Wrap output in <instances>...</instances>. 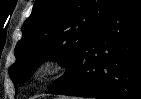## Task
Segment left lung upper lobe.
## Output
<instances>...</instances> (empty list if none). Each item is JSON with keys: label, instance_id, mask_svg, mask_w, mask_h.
I'll use <instances>...</instances> for the list:
<instances>
[{"label": "left lung upper lobe", "instance_id": "obj_1", "mask_svg": "<svg viewBox=\"0 0 141 99\" xmlns=\"http://www.w3.org/2000/svg\"><path fill=\"white\" fill-rule=\"evenodd\" d=\"M118 0H36L15 47L16 62L9 68L14 83L34 73L44 60L73 69L89 37Z\"/></svg>", "mask_w": 141, "mask_h": 99}]
</instances>
